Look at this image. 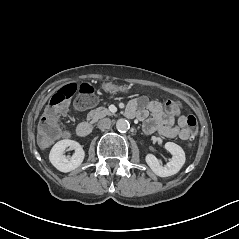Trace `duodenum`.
I'll use <instances>...</instances> for the list:
<instances>
[{
	"label": "duodenum",
	"mask_w": 239,
	"mask_h": 239,
	"mask_svg": "<svg viewBox=\"0 0 239 239\" xmlns=\"http://www.w3.org/2000/svg\"><path fill=\"white\" fill-rule=\"evenodd\" d=\"M92 125L89 122H82L77 127V134L80 137H86L92 132Z\"/></svg>",
	"instance_id": "duodenum-1"
}]
</instances>
